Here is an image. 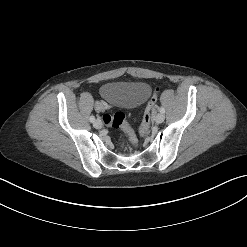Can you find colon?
<instances>
[{"instance_id":"colon-1","label":"colon","mask_w":247,"mask_h":247,"mask_svg":"<svg viewBox=\"0 0 247 247\" xmlns=\"http://www.w3.org/2000/svg\"><path fill=\"white\" fill-rule=\"evenodd\" d=\"M157 92L158 88H156L146 106L144 112V119L141 127L138 132L133 130L129 124L125 121V115L122 112H116L114 114H106L103 117L104 124L107 127L111 128H122L128 135V144L133 146L138 142V137L146 135L149 130V124L151 119V114L155 109L157 102Z\"/></svg>"}]
</instances>
